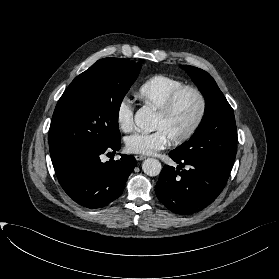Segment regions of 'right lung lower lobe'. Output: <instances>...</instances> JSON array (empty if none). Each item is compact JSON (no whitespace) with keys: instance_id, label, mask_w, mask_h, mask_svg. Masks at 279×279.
Instances as JSON below:
<instances>
[{"instance_id":"obj_1","label":"right lung lower lobe","mask_w":279,"mask_h":279,"mask_svg":"<svg viewBox=\"0 0 279 279\" xmlns=\"http://www.w3.org/2000/svg\"><path fill=\"white\" fill-rule=\"evenodd\" d=\"M120 139L94 150L76 151L52 159L53 167L63 190L78 204L87 208H102L116 200L136 165L131 155L101 162L104 152L118 151Z\"/></svg>"}]
</instances>
